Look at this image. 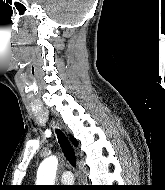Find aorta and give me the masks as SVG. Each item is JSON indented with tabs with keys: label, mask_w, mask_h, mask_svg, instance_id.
<instances>
[{
	"label": "aorta",
	"mask_w": 165,
	"mask_h": 190,
	"mask_svg": "<svg viewBox=\"0 0 165 190\" xmlns=\"http://www.w3.org/2000/svg\"><path fill=\"white\" fill-rule=\"evenodd\" d=\"M58 160L55 156L45 159L38 170V183L44 185H52L54 183Z\"/></svg>",
	"instance_id": "1"
}]
</instances>
